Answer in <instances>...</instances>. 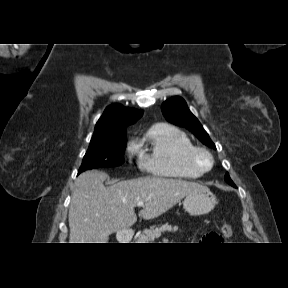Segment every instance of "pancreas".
<instances>
[{
    "label": "pancreas",
    "instance_id": "pancreas-1",
    "mask_svg": "<svg viewBox=\"0 0 288 288\" xmlns=\"http://www.w3.org/2000/svg\"><path fill=\"white\" fill-rule=\"evenodd\" d=\"M178 230L177 226L172 227L168 223L161 225L160 227L152 226L150 229H145L137 238V243H150L156 238H159L162 233L166 231L175 232Z\"/></svg>",
    "mask_w": 288,
    "mask_h": 288
}]
</instances>
